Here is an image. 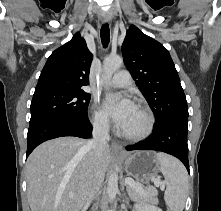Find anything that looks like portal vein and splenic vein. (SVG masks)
Instances as JSON below:
<instances>
[{
	"label": "portal vein and splenic vein",
	"instance_id": "obj_1",
	"mask_svg": "<svg viewBox=\"0 0 221 211\" xmlns=\"http://www.w3.org/2000/svg\"><path fill=\"white\" fill-rule=\"evenodd\" d=\"M154 181V184L156 187H159L161 185V182H160V178L157 177V178H154L153 179ZM125 184L128 185V186H133L134 188H136L143 196H148V193L146 191L143 190L142 187L140 186H137L136 185V182L131 179V178H125Z\"/></svg>",
	"mask_w": 221,
	"mask_h": 211
}]
</instances>
